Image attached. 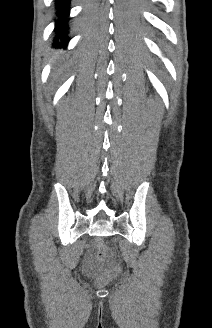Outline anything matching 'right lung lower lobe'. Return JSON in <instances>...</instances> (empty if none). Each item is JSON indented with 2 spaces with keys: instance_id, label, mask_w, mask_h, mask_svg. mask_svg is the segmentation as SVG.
Returning a JSON list of instances; mask_svg holds the SVG:
<instances>
[{
  "instance_id": "obj_1",
  "label": "right lung lower lobe",
  "mask_w": 212,
  "mask_h": 328,
  "mask_svg": "<svg viewBox=\"0 0 212 328\" xmlns=\"http://www.w3.org/2000/svg\"><path fill=\"white\" fill-rule=\"evenodd\" d=\"M69 4L70 0H55L56 5V15L58 19L56 20V28L55 33L57 38H60L63 45H66L69 41L67 39V19L66 17L69 15ZM65 19V20H64Z\"/></svg>"
}]
</instances>
